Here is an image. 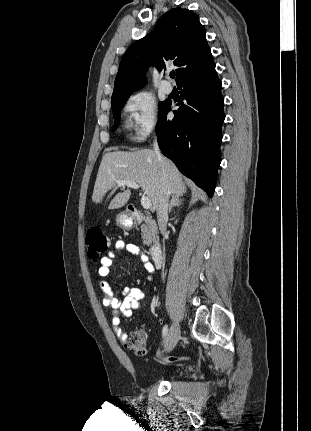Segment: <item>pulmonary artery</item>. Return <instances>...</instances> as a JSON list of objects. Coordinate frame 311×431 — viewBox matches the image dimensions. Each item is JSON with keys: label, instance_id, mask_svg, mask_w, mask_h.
<instances>
[{"label": "pulmonary artery", "instance_id": "1", "mask_svg": "<svg viewBox=\"0 0 311 431\" xmlns=\"http://www.w3.org/2000/svg\"><path fill=\"white\" fill-rule=\"evenodd\" d=\"M161 88H162V91H163L165 94H171V93H172V91H173V86L171 85V83H170V82H168V81H166V80H164V81L162 82Z\"/></svg>", "mask_w": 311, "mask_h": 431}]
</instances>
